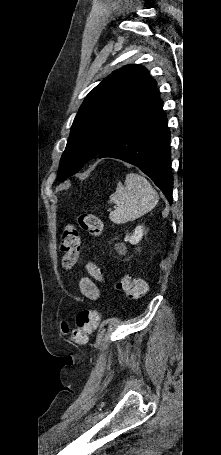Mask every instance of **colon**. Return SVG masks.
I'll return each instance as SVG.
<instances>
[{"label":"colon","instance_id":"obj_1","mask_svg":"<svg viewBox=\"0 0 221 455\" xmlns=\"http://www.w3.org/2000/svg\"><path fill=\"white\" fill-rule=\"evenodd\" d=\"M77 224L81 230L92 236L100 235L103 229L102 220L92 213L80 214ZM80 248V237L77 226L74 224L66 225L60 239V250L62 253L61 261L64 267L71 268L77 263ZM116 288L131 299H139L147 293L148 284L142 278L124 276L117 281ZM99 322V312L82 310L77 315L76 328L70 330L68 325L64 323L62 325V330L72 343L84 344L87 340V336L96 329Z\"/></svg>","mask_w":221,"mask_h":455}]
</instances>
